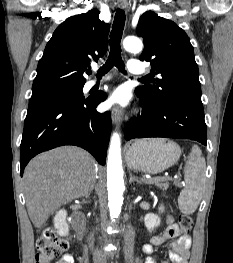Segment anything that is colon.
Here are the masks:
<instances>
[{
	"label": "colon",
	"mask_w": 233,
	"mask_h": 263,
	"mask_svg": "<svg viewBox=\"0 0 233 263\" xmlns=\"http://www.w3.org/2000/svg\"><path fill=\"white\" fill-rule=\"evenodd\" d=\"M178 224L185 233L192 228L193 220L189 215H180ZM69 248V242L52 230L45 231L36 242V263H51Z\"/></svg>",
	"instance_id": "obj_1"
}]
</instances>
